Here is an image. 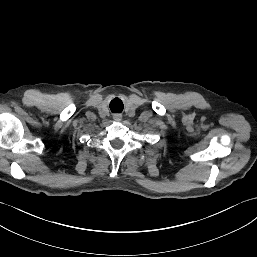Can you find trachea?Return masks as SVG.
<instances>
[{
    "label": "trachea",
    "instance_id": "3493384b",
    "mask_svg": "<svg viewBox=\"0 0 257 257\" xmlns=\"http://www.w3.org/2000/svg\"><path fill=\"white\" fill-rule=\"evenodd\" d=\"M110 109L112 112H121L123 110V103L119 99H114L110 103Z\"/></svg>",
    "mask_w": 257,
    "mask_h": 257
}]
</instances>
